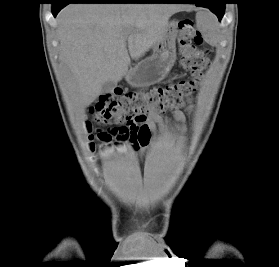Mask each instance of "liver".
Masks as SVG:
<instances>
[{"label": "liver", "mask_w": 279, "mask_h": 267, "mask_svg": "<svg viewBox=\"0 0 279 267\" xmlns=\"http://www.w3.org/2000/svg\"><path fill=\"white\" fill-rule=\"evenodd\" d=\"M171 4H72L58 16L60 58L72 72L82 107L102 85L118 83L130 65L163 36L169 18L182 10Z\"/></svg>", "instance_id": "1"}]
</instances>
